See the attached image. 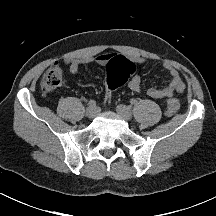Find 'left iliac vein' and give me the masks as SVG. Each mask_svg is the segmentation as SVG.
<instances>
[{
    "label": "left iliac vein",
    "mask_w": 216,
    "mask_h": 216,
    "mask_svg": "<svg viewBox=\"0 0 216 216\" xmlns=\"http://www.w3.org/2000/svg\"><path fill=\"white\" fill-rule=\"evenodd\" d=\"M117 113L125 120H130L132 118V112L129 107L120 104L116 108Z\"/></svg>",
    "instance_id": "1"
}]
</instances>
